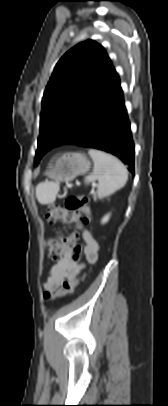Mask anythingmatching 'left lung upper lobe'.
Returning a JSON list of instances; mask_svg holds the SVG:
<instances>
[{
    "label": "left lung upper lobe",
    "instance_id": "1",
    "mask_svg": "<svg viewBox=\"0 0 168 406\" xmlns=\"http://www.w3.org/2000/svg\"><path fill=\"white\" fill-rule=\"evenodd\" d=\"M116 76L104 48L93 40L81 42L64 54L42 99L35 165L80 130Z\"/></svg>",
    "mask_w": 168,
    "mask_h": 406
}]
</instances>
